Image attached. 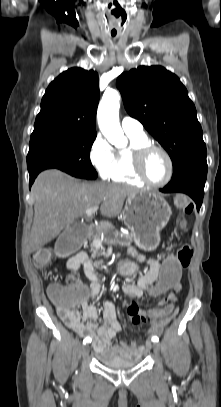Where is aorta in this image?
Returning <instances> with one entry per match:
<instances>
[{"mask_svg": "<svg viewBox=\"0 0 221 407\" xmlns=\"http://www.w3.org/2000/svg\"><path fill=\"white\" fill-rule=\"evenodd\" d=\"M120 94L118 91L106 92L98 106L97 120L106 139L115 146H121L126 138L119 122Z\"/></svg>", "mask_w": 221, "mask_h": 407, "instance_id": "aorta-1", "label": "aorta"}]
</instances>
